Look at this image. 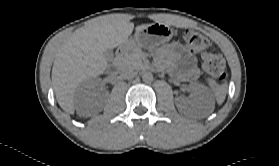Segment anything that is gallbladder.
Segmentation results:
<instances>
[{
  "label": "gallbladder",
  "mask_w": 279,
  "mask_h": 166,
  "mask_svg": "<svg viewBox=\"0 0 279 166\" xmlns=\"http://www.w3.org/2000/svg\"><path fill=\"white\" fill-rule=\"evenodd\" d=\"M105 59L108 61V62H111L114 58V53H113V50L112 49H107L104 53H103Z\"/></svg>",
  "instance_id": "1"
}]
</instances>
